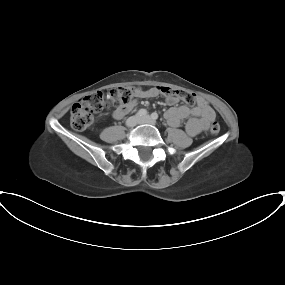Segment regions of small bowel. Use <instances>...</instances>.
<instances>
[{"mask_svg":"<svg viewBox=\"0 0 285 285\" xmlns=\"http://www.w3.org/2000/svg\"><path fill=\"white\" fill-rule=\"evenodd\" d=\"M159 94L160 91L157 87L150 89L136 87L134 89L133 99L116 108L113 112V117L115 119H121L128 111L136 106L138 99L153 98ZM166 101L171 106L164 114L166 120L170 125L177 127L184 119L189 118L186 123V132L190 136H195L206 130L209 124L215 120L216 114L214 109L202 97H198L196 106L192 108L184 105L177 106V103L180 101V98L177 96H167Z\"/></svg>","mask_w":285,"mask_h":285,"instance_id":"small-bowel-1","label":"small bowel"}]
</instances>
